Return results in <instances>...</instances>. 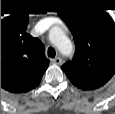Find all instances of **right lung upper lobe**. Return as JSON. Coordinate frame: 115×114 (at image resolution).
<instances>
[{"label":"right lung upper lobe","instance_id":"obj_1","mask_svg":"<svg viewBox=\"0 0 115 114\" xmlns=\"http://www.w3.org/2000/svg\"><path fill=\"white\" fill-rule=\"evenodd\" d=\"M27 24L18 15L1 21V87L13 93L35 88L49 65L42 42L26 33Z\"/></svg>","mask_w":115,"mask_h":114}]
</instances>
